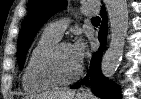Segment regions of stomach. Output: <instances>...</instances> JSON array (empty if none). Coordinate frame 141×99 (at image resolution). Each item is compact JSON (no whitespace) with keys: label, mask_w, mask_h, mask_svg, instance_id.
<instances>
[{"label":"stomach","mask_w":141,"mask_h":99,"mask_svg":"<svg viewBox=\"0 0 141 99\" xmlns=\"http://www.w3.org/2000/svg\"><path fill=\"white\" fill-rule=\"evenodd\" d=\"M35 99H37V98H35ZM76 99H87V98L78 96V97H76Z\"/></svg>","instance_id":"0dacf381"}]
</instances>
